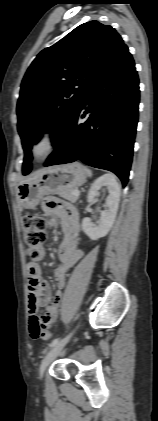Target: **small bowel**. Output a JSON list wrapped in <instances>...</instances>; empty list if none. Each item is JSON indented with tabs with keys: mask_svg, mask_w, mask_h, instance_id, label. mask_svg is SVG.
I'll return each instance as SVG.
<instances>
[{
	"mask_svg": "<svg viewBox=\"0 0 158 421\" xmlns=\"http://www.w3.org/2000/svg\"><path fill=\"white\" fill-rule=\"evenodd\" d=\"M42 207L50 216L51 225L60 223L64 237L58 248L59 266L54 272V280L59 290L55 293L52 301L50 286L42 278L38 263L45 255L42 246L39 247L36 256L31 258L27 264L29 330L32 336L35 330L49 329L57 320L62 300L61 289L66 283V272L81 260L84 254L78 247L80 223L77 210L56 197L45 198ZM40 309L45 310L41 317L39 316Z\"/></svg>",
	"mask_w": 158,
	"mask_h": 421,
	"instance_id": "small-bowel-1",
	"label": "small bowel"
}]
</instances>
